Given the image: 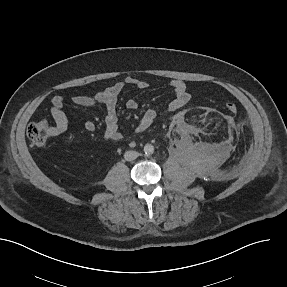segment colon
Wrapping results in <instances>:
<instances>
[{"mask_svg":"<svg viewBox=\"0 0 287 287\" xmlns=\"http://www.w3.org/2000/svg\"><path fill=\"white\" fill-rule=\"evenodd\" d=\"M225 108L231 113H236L238 109L234 102H227ZM50 131L49 124L44 120H40L33 122L28 126L27 135L35 147L45 148L48 143Z\"/></svg>","mask_w":287,"mask_h":287,"instance_id":"colon-1","label":"colon"}]
</instances>
